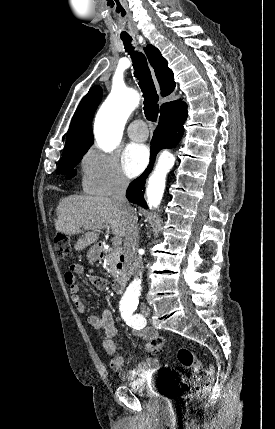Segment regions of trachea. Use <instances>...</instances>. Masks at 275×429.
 <instances>
[{
    "instance_id": "trachea-1",
    "label": "trachea",
    "mask_w": 275,
    "mask_h": 429,
    "mask_svg": "<svg viewBox=\"0 0 275 429\" xmlns=\"http://www.w3.org/2000/svg\"><path fill=\"white\" fill-rule=\"evenodd\" d=\"M121 39L125 45L126 52L131 55L134 76L137 78L139 87L143 93L145 116L147 120L156 122L159 110L158 95L147 65L146 57L142 53L134 51V47L131 45V37H122Z\"/></svg>"
}]
</instances>
